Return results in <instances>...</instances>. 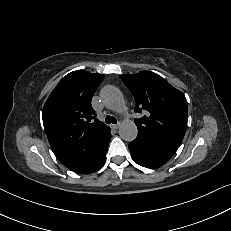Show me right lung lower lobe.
<instances>
[{
	"instance_id": "right-lung-lower-lobe-1",
	"label": "right lung lower lobe",
	"mask_w": 231,
	"mask_h": 231,
	"mask_svg": "<svg viewBox=\"0 0 231 231\" xmlns=\"http://www.w3.org/2000/svg\"><path fill=\"white\" fill-rule=\"evenodd\" d=\"M110 139L111 134L109 129L102 138L96 141L93 150L86 154L79 164L71 168V170L76 173L86 174L101 168L105 163Z\"/></svg>"
}]
</instances>
